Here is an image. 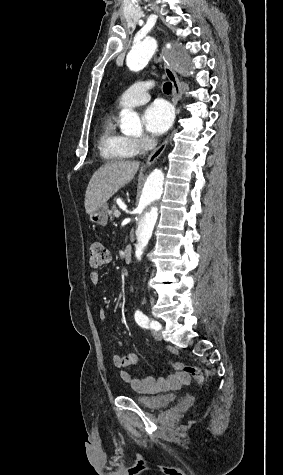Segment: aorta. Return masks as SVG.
I'll return each instance as SVG.
<instances>
[{"label": "aorta", "instance_id": "obj_1", "mask_svg": "<svg viewBox=\"0 0 283 475\" xmlns=\"http://www.w3.org/2000/svg\"><path fill=\"white\" fill-rule=\"evenodd\" d=\"M156 49L157 42L153 38H147L134 45L126 57L127 66L132 71L142 70ZM180 64L185 65V61L181 59ZM120 128L126 135L140 133L141 121L138 114L131 109H123ZM168 176L169 173L162 169H155L137 187L133 209L136 263L141 261L153 232L161 221L169 185Z\"/></svg>", "mask_w": 283, "mask_h": 475}]
</instances>
